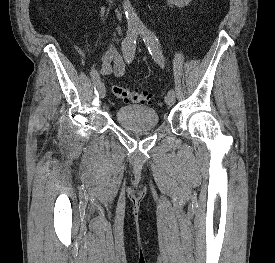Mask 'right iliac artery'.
<instances>
[{
	"label": "right iliac artery",
	"instance_id": "82829eb1",
	"mask_svg": "<svg viewBox=\"0 0 275 263\" xmlns=\"http://www.w3.org/2000/svg\"><path fill=\"white\" fill-rule=\"evenodd\" d=\"M137 37L138 29L133 27L128 30L127 36L124 38L122 42L123 56L128 63L133 60ZM90 75L93 83L98 86L101 83V79L98 72L94 68H92Z\"/></svg>",
	"mask_w": 275,
	"mask_h": 263
}]
</instances>
